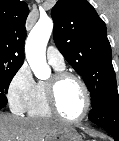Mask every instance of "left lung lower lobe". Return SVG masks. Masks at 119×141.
Listing matches in <instances>:
<instances>
[{"label":"left lung lower lobe","mask_w":119,"mask_h":141,"mask_svg":"<svg viewBox=\"0 0 119 141\" xmlns=\"http://www.w3.org/2000/svg\"><path fill=\"white\" fill-rule=\"evenodd\" d=\"M89 119L119 141V95L107 98L90 111Z\"/></svg>","instance_id":"0a47b994"}]
</instances>
